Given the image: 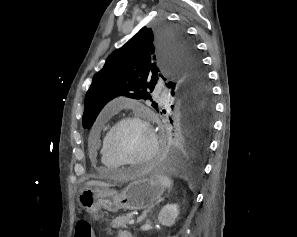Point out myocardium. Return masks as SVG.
I'll return each mask as SVG.
<instances>
[{"label":"myocardium","mask_w":297,"mask_h":237,"mask_svg":"<svg viewBox=\"0 0 297 237\" xmlns=\"http://www.w3.org/2000/svg\"><path fill=\"white\" fill-rule=\"evenodd\" d=\"M129 122H135L139 123L148 132V135L150 137V150L149 152L141 159L135 160V161H130V160H125L122 157L119 156V154L114 150L112 146V135L114 132L122 125L129 123ZM105 143H106V148L109 152V154L114 158L120 166H133V165H143L146 163H149L152 161L158 154L159 151V138L158 134L152 125L150 118L145 115V114H130L121 117L118 119L113 126L109 129L105 136Z\"/></svg>","instance_id":"obj_1"}]
</instances>
